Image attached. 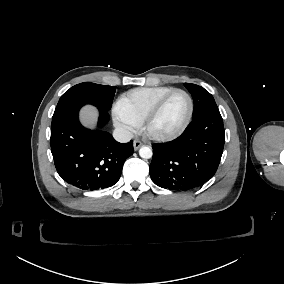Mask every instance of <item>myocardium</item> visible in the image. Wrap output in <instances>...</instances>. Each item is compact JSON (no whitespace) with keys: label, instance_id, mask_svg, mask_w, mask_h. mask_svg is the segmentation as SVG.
<instances>
[{"label":"myocardium","instance_id":"myocardium-1","mask_svg":"<svg viewBox=\"0 0 284 284\" xmlns=\"http://www.w3.org/2000/svg\"><path fill=\"white\" fill-rule=\"evenodd\" d=\"M176 92H182L188 99L189 112H188L186 120L184 121V123L181 125V127L177 131L169 135L158 136V135L151 134L149 132L150 122L161 111L165 102ZM193 115H194V101H193L192 96L185 89L175 88L171 90L170 92L166 93L165 95H163L153 106H151L148 109L144 117L140 120V127L144 135L147 138L154 140V141H158V142H168V141L175 140L176 138H178L180 135L184 133V131L187 129V127L191 123Z\"/></svg>","mask_w":284,"mask_h":284}]
</instances>
